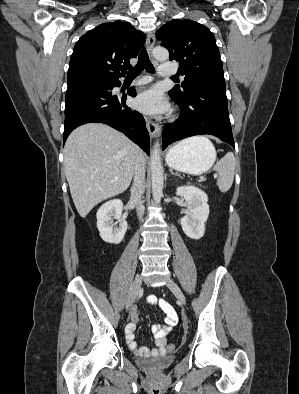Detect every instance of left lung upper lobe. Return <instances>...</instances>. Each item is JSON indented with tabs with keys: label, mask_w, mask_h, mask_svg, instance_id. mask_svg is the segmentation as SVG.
<instances>
[{
	"label": "left lung upper lobe",
	"mask_w": 299,
	"mask_h": 394,
	"mask_svg": "<svg viewBox=\"0 0 299 394\" xmlns=\"http://www.w3.org/2000/svg\"><path fill=\"white\" fill-rule=\"evenodd\" d=\"M161 45L168 49L169 59L179 62V73L184 76L180 86L171 93L183 96L189 84L201 80L223 81V66L213 33L192 20L174 19L156 33Z\"/></svg>",
	"instance_id": "5c2ea615"
}]
</instances>
